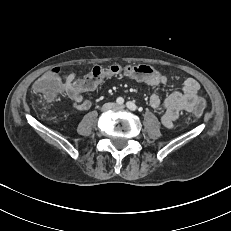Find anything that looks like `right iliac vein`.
I'll use <instances>...</instances> for the list:
<instances>
[{
    "label": "right iliac vein",
    "instance_id": "63e3f726",
    "mask_svg": "<svg viewBox=\"0 0 231 231\" xmlns=\"http://www.w3.org/2000/svg\"><path fill=\"white\" fill-rule=\"evenodd\" d=\"M110 108V106H105L103 109L104 110H107V109H109Z\"/></svg>",
    "mask_w": 231,
    "mask_h": 231
}]
</instances>
